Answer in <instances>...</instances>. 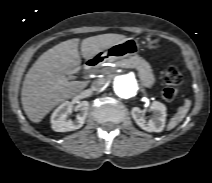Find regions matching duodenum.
Listing matches in <instances>:
<instances>
[{"label":"duodenum","instance_id":"1","mask_svg":"<svg viewBox=\"0 0 212 183\" xmlns=\"http://www.w3.org/2000/svg\"><path fill=\"white\" fill-rule=\"evenodd\" d=\"M102 61V58L100 57H93L86 60L84 65V71L89 72L96 66H98Z\"/></svg>","mask_w":212,"mask_h":183}]
</instances>
